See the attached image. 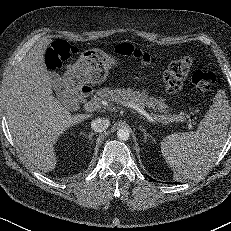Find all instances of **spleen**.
<instances>
[{
	"label": "spleen",
	"instance_id": "obj_1",
	"mask_svg": "<svg viewBox=\"0 0 231 231\" xmlns=\"http://www.w3.org/2000/svg\"><path fill=\"white\" fill-rule=\"evenodd\" d=\"M230 109L225 93L219 91L196 131L163 139L161 152L176 181L192 179L210 168L226 142Z\"/></svg>",
	"mask_w": 231,
	"mask_h": 231
}]
</instances>
